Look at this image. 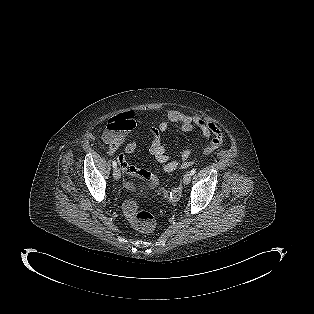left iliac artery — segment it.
<instances>
[{"mask_svg":"<svg viewBox=\"0 0 314 314\" xmlns=\"http://www.w3.org/2000/svg\"><path fill=\"white\" fill-rule=\"evenodd\" d=\"M195 172H196V169H192L190 173H191V175H194Z\"/></svg>","mask_w":314,"mask_h":314,"instance_id":"obj_1","label":"left iliac artery"}]
</instances>
